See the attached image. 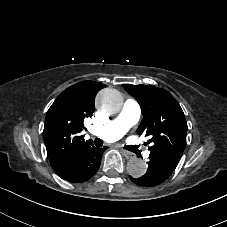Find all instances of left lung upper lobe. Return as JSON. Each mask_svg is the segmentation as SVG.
<instances>
[{
  "label": "left lung upper lobe",
  "instance_id": "left-lung-upper-lobe-1",
  "mask_svg": "<svg viewBox=\"0 0 227 227\" xmlns=\"http://www.w3.org/2000/svg\"><path fill=\"white\" fill-rule=\"evenodd\" d=\"M140 104L143 115L137 129L149 136L150 155L177 165L186 146L187 122L182 108L166 90L150 85L123 84Z\"/></svg>",
  "mask_w": 227,
  "mask_h": 227
}]
</instances>
